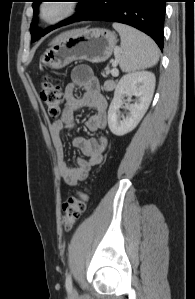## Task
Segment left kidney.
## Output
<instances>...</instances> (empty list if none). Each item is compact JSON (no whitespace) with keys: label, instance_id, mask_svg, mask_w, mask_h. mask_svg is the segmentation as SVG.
Returning a JSON list of instances; mask_svg holds the SVG:
<instances>
[{"label":"left kidney","instance_id":"5707ae66","mask_svg":"<svg viewBox=\"0 0 195 299\" xmlns=\"http://www.w3.org/2000/svg\"><path fill=\"white\" fill-rule=\"evenodd\" d=\"M155 82V75L149 71L129 73L120 79L108 110V126L114 135L123 136L138 125L151 103ZM124 95L137 99L126 106L129 110L126 117H121L119 109L123 106Z\"/></svg>","mask_w":195,"mask_h":299}]
</instances>
